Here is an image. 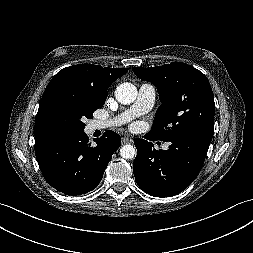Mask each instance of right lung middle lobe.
I'll use <instances>...</instances> for the list:
<instances>
[{"instance_id":"1","label":"right lung middle lobe","mask_w":253,"mask_h":253,"mask_svg":"<svg viewBox=\"0 0 253 253\" xmlns=\"http://www.w3.org/2000/svg\"><path fill=\"white\" fill-rule=\"evenodd\" d=\"M107 95L97 94L85 87L55 84L46 88L35 120L34 135L48 132H83L84 118H92Z\"/></svg>"}]
</instances>
